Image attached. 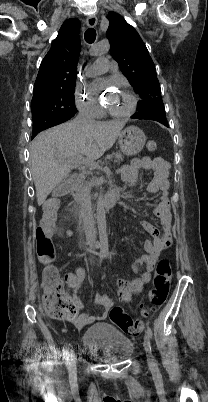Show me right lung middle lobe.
Listing matches in <instances>:
<instances>
[{
	"label": "right lung middle lobe",
	"mask_w": 208,
	"mask_h": 402,
	"mask_svg": "<svg viewBox=\"0 0 208 402\" xmlns=\"http://www.w3.org/2000/svg\"><path fill=\"white\" fill-rule=\"evenodd\" d=\"M74 92L75 81L41 89L34 93L31 102L33 120L42 116L73 117L77 112Z\"/></svg>",
	"instance_id": "dd1d6c3e"
}]
</instances>
